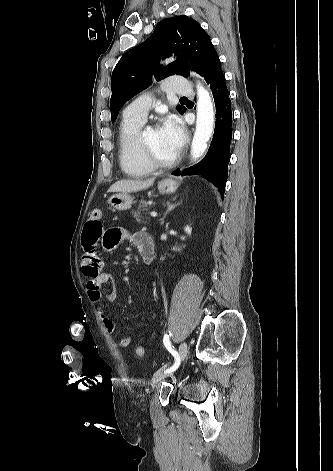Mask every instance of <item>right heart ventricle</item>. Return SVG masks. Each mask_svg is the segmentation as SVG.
Listing matches in <instances>:
<instances>
[{"label": "right heart ventricle", "instance_id": "e07e8e85", "mask_svg": "<svg viewBox=\"0 0 333 471\" xmlns=\"http://www.w3.org/2000/svg\"><path fill=\"white\" fill-rule=\"evenodd\" d=\"M143 124V120L123 116L119 127V164L123 172L133 178L146 177L154 171L139 146V132Z\"/></svg>", "mask_w": 333, "mask_h": 471}]
</instances>
